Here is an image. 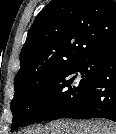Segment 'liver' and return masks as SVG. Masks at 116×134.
<instances>
[{
    "label": "liver",
    "instance_id": "1",
    "mask_svg": "<svg viewBox=\"0 0 116 134\" xmlns=\"http://www.w3.org/2000/svg\"><path fill=\"white\" fill-rule=\"evenodd\" d=\"M24 134H116V125L107 121H57L44 127L26 130Z\"/></svg>",
    "mask_w": 116,
    "mask_h": 134
}]
</instances>
